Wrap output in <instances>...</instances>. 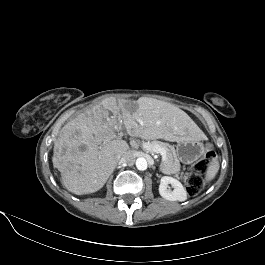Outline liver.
I'll use <instances>...</instances> for the list:
<instances>
[{
    "label": "liver",
    "mask_w": 265,
    "mask_h": 265,
    "mask_svg": "<svg viewBox=\"0 0 265 265\" xmlns=\"http://www.w3.org/2000/svg\"><path fill=\"white\" fill-rule=\"evenodd\" d=\"M144 138L167 141L199 140L201 131L178 107L152 98H139L131 112L125 100L106 98L69 121L54 141L53 165L61 172L64 187L76 195L101 189L119 159L129 150L117 137L136 122Z\"/></svg>",
    "instance_id": "obj_1"
}]
</instances>
